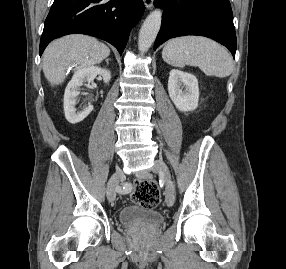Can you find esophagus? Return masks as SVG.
<instances>
[{
	"instance_id": "obj_1",
	"label": "esophagus",
	"mask_w": 286,
	"mask_h": 269,
	"mask_svg": "<svg viewBox=\"0 0 286 269\" xmlns=\"http://www.w3.org/2000/svg\"><path fill=\"white\" fill-rule=\"evenodd\" d=\"M143 1L147 9H151L153 7L154 0H143Z\"/></svg>"
}]
</instances>
